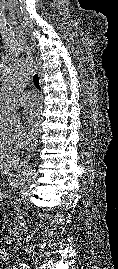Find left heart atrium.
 <instances>
[{
  "instance_id": "left-heart-atrium-1",
  "label": "left heart atrium",
  "mask_w": 118,
  "mask_h": 269,
  "mask_svg": "<svg viewBox=\"0 0 118 269\" xmlns=\"http://www.w3.org/2000/svg\"><path fill=\"white\" fill-rule=\"evenodd\" d=\"M24 121L31 133H37L40 130L43 121L41 107L37 104L30 106L25 112Z\"/></svg>"
}]
</instances>
